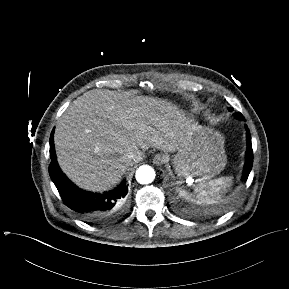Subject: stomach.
Masks as SVG:
<instances>
[{
	"instance_id": "obj_1",
	"label": "stomach",
	"mask_w": 289,
	"mask_h": 289,
	"mask_svg": "<svg viewBox=\"0 0 289 289\" xmlns=\"http://www.w3.org/2000/svg\"><path fill=\"white\" fill-rule=\"evenodd\" d=\"M227 158L224 137L217 131L192 124L177 149L173 164L178 175L207 180L219 174Z\"/></svg>"
}]
</instances>
